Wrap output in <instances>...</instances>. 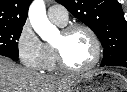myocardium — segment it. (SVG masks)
Here are the masks:
<instances>
[{
  "mask_svg": "<svg viewBox=\"0 0 127 92\" xmlns=\"http://www.w3.org/2000/svg\"><path fill=\"white\" fill-rule=\"evenodd\" d=\"M76 30L86 31L91 37L93 45H94V56L91 62L87 66L83 68H73L66 62L62 49L59 45L53 44L52 49L54 52L57 67L60 70L66 73L81 74L93 69L99 63L102 56V46H101V42L97 33L90 26L83 23L68 24L62 28L60 33L62 36L65 37Z\"/></svg>",
  "mask_w": 127,
  "mask_h": 92,
  "instance_id": "obj_1",
  "label": "myocardium"
}]
</instances>
